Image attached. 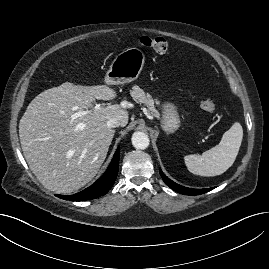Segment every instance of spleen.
I'll list each match as a JSON object with an SVG mask.
<instances>
[{
  "label": "spleen",
  "mask_w": 269,
  "mask_h": 269,
  "mask_svg": "<svg viewBox=\"0 0 269 269\" xmlns=\"http://www.w3.org/2000/svg\"><path fill=\"white\" fill-rule=\"evenodd\" d=\"M243 139V128L235 122L227 130L218 145L205 151L202 155L184 157L188 170L200 176H217L227 171L234 163Z\"/></svg>",
  "instance_id": "1"
}]
</instances>
